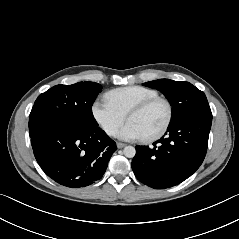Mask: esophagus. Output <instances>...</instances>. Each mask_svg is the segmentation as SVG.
Instances as JSON below:
<instances>
[{
  "instance_id": "1",
  "label": "esophagus",
  "mask_w": 239,
  "mask_h": 239,
  "mask_svg": "<svg viewBox=\"0 0 239 239\" xmlns=\"http://www.w3.org/2000/svg\"><path fill=\"white\" fill-rule=\"evenodd\" d=\"M116 145H117V147H118L119 149L125 147V144H124V143H120V142H117Z\"/></svg>"
}]
</instances>
